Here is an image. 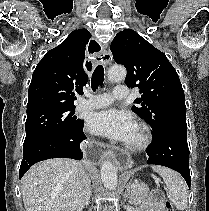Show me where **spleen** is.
Here are the masks:
<instances>
[{"label": "spleen", "mask_w": 209, "mask_h": 211, "mask_svg": "<svg viewBox=\"0 0 209 211\" xmlns=\"http://www.w3.org/2000/svg\"><path fill=\"white\" fill-rule=\"evenodd\" d=\"M152 169L157 172L166 184L168 198L178 210H184L187 206L188 187L183 178L175 171L163 167L153 166Z\"/></svg>", "instance_id": "3e777b00"}]
</instances>
